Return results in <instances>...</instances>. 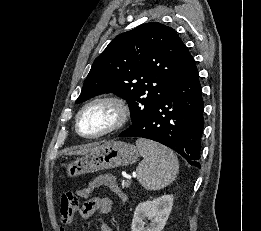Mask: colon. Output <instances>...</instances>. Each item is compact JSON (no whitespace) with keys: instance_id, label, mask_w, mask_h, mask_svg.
I'll return each instance as SVG.
<instances>
[{"instance_id":"colon-1","label":"colon","mask_w":261,"mask_h":231,"mask_svg":"<svg viewBox=\"0 0 261 231\" xmlns=\"http://www.w3.org/2000/svg\"><path fill=\"white\" fill-rule=\"evenodd\" d=\"M108 187L113 190L116 185L109 180ZM95 186L90 184L88 187L82 189L83 193L89 194ZM81 197L80 191L77 192H65L61 198L60 215L66 221H71L79 209V198Z\"/></svg>"}]
</instances>
